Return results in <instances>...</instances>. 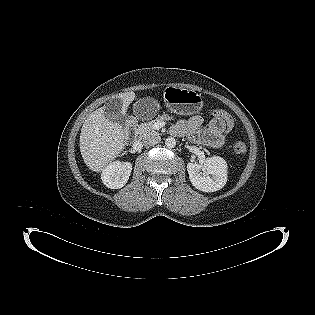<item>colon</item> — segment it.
Listing matches in <instances>:
<instances>
[{"label":"colon","mask_w":315,"mask_h":315,"mask_svg":"<svg viewBox=\"0 0 315 315\" xmlns=\"http://www.w3.org/2000/svg\"><path fill=\"white\" fill-rule=\"evenodd\" d=\"M212 115H215V117L224 118V121L227 125V131L234 130V121L231 119V113H226L225 111L215 109L212 110ZM232 150L237 154H243L247 151V147L244 143L237 142L232 146Z\"/></svg>","instance_id":"5ec220e1"}]
</instances>
